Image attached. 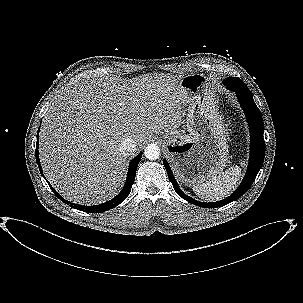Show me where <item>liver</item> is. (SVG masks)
I'll return each mask as SVG.
<instances>
[{
  "mask_svg": "<svg viewBox=\"0 0 303 303\" xmlns=\"http://www.w3.org/2000/svg\"><path fill=\"white\" fill-rule=\"evenodd\" d=\"M181 76L103 74L55 98L42 122L39 154L46 178L67 200L99 204L113 197L127 167L125 138L139 150L153 133L176 130L186 93Z\"/></svg>",
  "mask_w": 303,
  "mask_h": 303,
  "instance_id": "6515ba94",
  "label": "liver"
}]
</instances>
